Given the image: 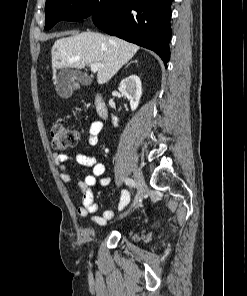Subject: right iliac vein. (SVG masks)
Masks as SVG:
<instances>
[{"label":"right iliac vein","mask_w":247,"mask_h":296,"mask_svg":"<svg viewBox=\"0 0 247 296\" xmlns=\"http://www.w3.org/2000/svg\"><path fill=\"white\" fill-rule=\"evenodd\" d=\"M134 180L137 184L138 192H137L136 199L132 205V208L136 207L139 204V202L143 199V195L146 187L145 179L140 169L134 170Z\"/></svg>","instance_id":"63e3f726"}]
</instances>
